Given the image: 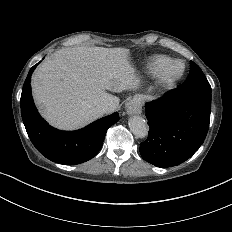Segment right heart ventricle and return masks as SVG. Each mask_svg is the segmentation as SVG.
<instances>
[{
  "mask_svg": "<svg viewBox=\"0 0 232 232\" xmlns=\"http://www.w3.org/2000/svg\"><path fill=\"white\" fill-rule=\"evenodd\" d=\"M173 62V59L166 55H153L142 65L139 71H135L136 76L146 75L157 77Z\"/></svg>",
  "mask_w": 232,
  "mask_h": 232,
  "instance_id": "e07e8e85",
  "label": "right heart ventricle"
}]
</instances>
